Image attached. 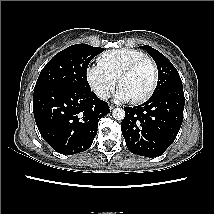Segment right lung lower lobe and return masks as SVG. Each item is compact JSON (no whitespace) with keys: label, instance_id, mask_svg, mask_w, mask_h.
<instances>
[{"label":"right lung lower lobe","instance_id":"obj_1","mask_svg":"<svg viewBox=\"0 0 214 214\" xmlns=\"http://www.w3.org/2000/svg\"><path fill=\"white\" fill-rule=\"evenodd\" d=\"M33 109L43 139L65 155L90 148L99 119L110 112L94 92L57 85L34 90Z\"/></svg>","mask_w":214,"mask_h":214}]
</instances>
